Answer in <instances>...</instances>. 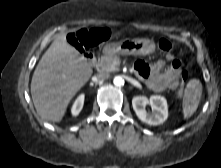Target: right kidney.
<instances>
[{
	"label": "right kidney",
	"mask_w": 221,
	"mask_h": 168,
	"mask_svg": "<svg viewBox=\"0 0 221 168\" xmlns=\"http://www.w3.org/2000/svg\"><path fill=\"white\" fill-rule=\"evenodd\" d=\"M83 104H84V95L82 94L75 100L72 106L71 112L73 116H77L80 113V111L83 108Z\"/></svg>",
	"instance_id": "ca27d5eb"
}]
</instances>
